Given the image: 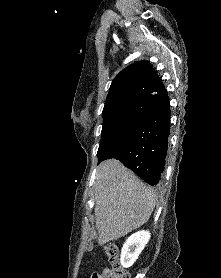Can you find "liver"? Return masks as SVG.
I'll list each match as a JSON object with an SVG mask.
<instances>
[{
	"instance_id": "1",
	"label": "liver",
	"mask_w": 221,
	"mask_h": 278,
	"mask_svg": "<svg viewBox=\"0 0 221 278\" xmlns=\"http://www.w3.org/2000/svg\"><path fill=\"white\" fill-rule=\"evenodd\" d=\"M98 244L117 240L146 223L156 204L154 191L118 160L102 162L94 184Z\"/></svg>"
}]
</instances>
